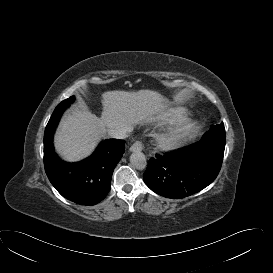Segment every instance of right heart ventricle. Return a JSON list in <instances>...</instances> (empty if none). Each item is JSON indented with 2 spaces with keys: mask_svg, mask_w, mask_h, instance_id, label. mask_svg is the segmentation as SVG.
Returning a JSON list of instances; mask_svg holds the SVG:
<instances>
[{
  "mask_svg": "<svg viewBox=\"0 0 273 273\" xmlns=\"http://www.w3.org/2000/svg\"><path fill=\"white\" fill-rule=\"evenodd\" d=\"M186 116V113L183 111H176L173 115L170 116V122L176 123L181 121Z\"/></svg>",
  "mask_w": 273,
  "mask_h": 273,
  "instance_id": "right-heart-ventricle-1",
  "label": "right heart ventricle"
}]
</instances>
